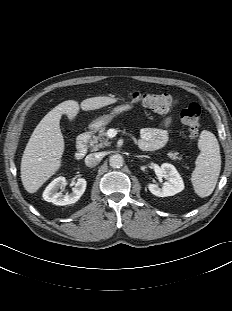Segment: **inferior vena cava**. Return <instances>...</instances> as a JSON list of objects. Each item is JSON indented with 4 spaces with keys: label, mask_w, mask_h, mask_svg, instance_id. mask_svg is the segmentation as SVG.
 I'll use <instances>...</instances> for the list:
<instances>
[{
    "label": "inferior vena cava",
    "mask_w": 232,
    "mask_h": 311,
    "mask_svg": "<svg viewBox=\"0 0 232 311\" xmlns=\"http://www.w3.org/2000/svg\"><path fill=\"white\" fill-rule=\"evenodd\" d=\"M101 161V156L98 153H92L86 156L85 164L88 167H94Z\"/></svg>",
    "instance_id": "obj_1"
}]
</instances>
